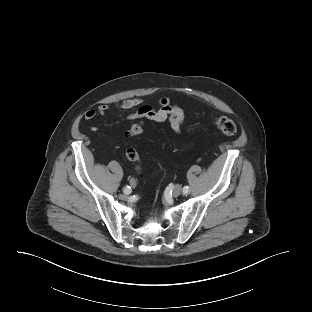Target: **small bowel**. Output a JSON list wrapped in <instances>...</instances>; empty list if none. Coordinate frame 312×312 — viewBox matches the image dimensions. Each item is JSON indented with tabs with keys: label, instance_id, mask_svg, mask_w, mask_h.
Returning a JSON list of instances; mask_svg holds the SVG:
<instances>
[{
	"label": "small bowel",
	"instance_id": "small-bowel-1",
	"mask_svg": "<svg viewBox=\"0 0 312 312\" xmlns=\"http://www.w3.org/2000/svg\"><path fill=\"white\" fill-rule=\"evenodd\" d=\"M158 108L144 104L141 98H130L115 103V107L120 110L136 109L128 116L129 120L145 118L154 122L169 121L172 130L176 133L181 132L185 112L178 105L174 104L168 96H163L158 100ZM110 109L109 105H100L97 109H89L85 112L84 118L88 121L93 120L98 115H104Z\"/></svg>",
	"mask_w": 312,
	"mask_h": 312
}]
</instances>
